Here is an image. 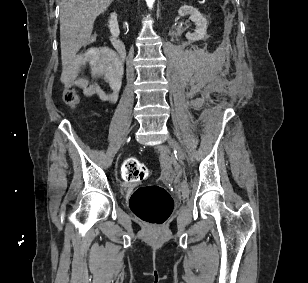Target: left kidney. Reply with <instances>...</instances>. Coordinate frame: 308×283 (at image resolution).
<instances>
[{
    "instance_id": "left-kidney-1",
    "label": "left kidney",
    "mask_w": 308,
    "mask_h": 283,
    "mask_svg": "<svg viewBox=\"0 0 308 283\" xmlns=\"http://www.w3.org/2000/svg\"><path fill=\"white\" fill-rule=\"evenodd\" d=\"M180 16L190 15V19L195 23L194 33H187L186 38L190 41H198L205 37L207 30L206 18L194 7L184 5L178 10Z\"/></svg>"
}]
</instances>
